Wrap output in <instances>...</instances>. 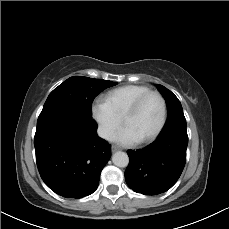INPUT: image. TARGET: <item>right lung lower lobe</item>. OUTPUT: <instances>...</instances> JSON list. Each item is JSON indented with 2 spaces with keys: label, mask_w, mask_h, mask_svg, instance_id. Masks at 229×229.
Here are the masks:
<instances>
[{
  "label": "right lung lower lobe",
  "mask_w": 229,
  "mask_h": 229,
  "mask_svg": "<svg viewBox=\"0 0 229 229\" xmlns=\"http://www.w3.org/2000/svg\"><path fill=\"white\" fill-rule=\"evenodd\" d=\"M91 116L59 111L40 114L34 138L41 178L56 194L82 198L98 187L111 146L98 137Z\"/></svg>",
  "instance_id": "obj_1"
}]
</instances>
